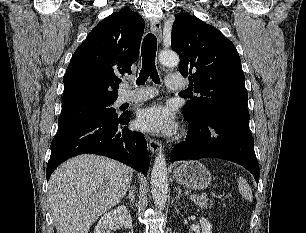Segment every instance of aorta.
Returning a JSON list of instances; mask_svg holds the SVG:
<instances>
[{
  "label": "aorta",
  "instance_id": "762f6f07",
  "mask_svg": "<svg viewBox=\"0 0 306 233\" xmlns=\"http://www.w3.org/2000/svg\"><path fill=\"white\" fill-rule=\"evenodd\" d=\"M159 61L167 67L179 65L180 59L177 53L170 50L159 54ZM168 178L165 156L160 152L154 160L151 172V193L157 208L163 209L167 201Z\"/></svg>",
  "mask_w": 306,
  "mask_h": 233
}]
</instances>
